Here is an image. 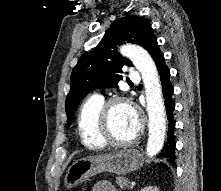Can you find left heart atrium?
<instances>
[{
	"label": "left heart atrium",
	"mask_w": 221,
	"mask_h": 191,
	"mask_svg": "<svg viewBox=\"0 0 221 191\" xmlns=\"http://www.w3.org/2000/svg\"><path fill=\"white\" fill-rule=\"evenodd\" d=\"M132 116L136 122H138L137 114L132 110Z\"/></svg>",
	"instance_id": "obj_1"
}]
</instances>
